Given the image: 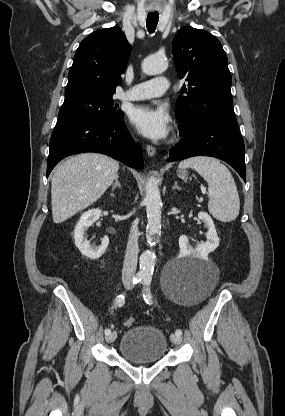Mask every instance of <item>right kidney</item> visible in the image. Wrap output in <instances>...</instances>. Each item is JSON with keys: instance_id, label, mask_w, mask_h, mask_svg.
<instances>
[{"instance_id": "ca27d5eb", "label": "right kidney", "mask_w": 285, "mask_h": 416, "mask_svg": "<svg viewBox=\"0 0 285 416\" xmlns=\"http://www.w3.org/2000/svg\"><path fill=\"white\" fill-rule=\"evenodd\" d=\"M101 214L102 210H88V212H84V214H82L78 224L75 226V246H77L81 254L86 256V258H89V260H98V258H101L102 254H104L108 248L109 238H107V236H104L99 248L90 246L89 242H87V238H84L86 230H88L94 222L99 220Z\"/></svg>"}]
</instances>
